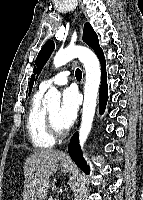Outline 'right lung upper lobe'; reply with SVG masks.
<instances>
[{"label": "right lung upper lobe", "instance_id": "cb5924a9", "mask_svg": "<svg viewBox=\"0 0 143 200\" xmlns=\"http://www.w3.org/2000/svg\"><path fill=\"white\" fill-rule=\"evenodd\" d=\"M33 83H34V76H32L31 79H30L29 93H30L31 90H32Z\"/></svg>", "mask_w": 143, "mask_h": 200}]
</instances>
